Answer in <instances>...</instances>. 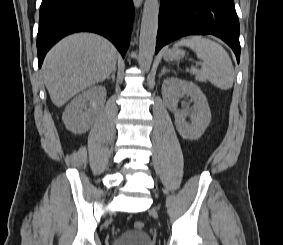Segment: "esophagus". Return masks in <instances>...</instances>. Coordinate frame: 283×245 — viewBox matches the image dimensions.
<instances>
[{
  "label": "esophagus",
  "instance_id": "1",
  "mask_svg": "<svg viewBox=\"0 0 283 245\" xmlns=\"http://www.w3.org/2000/svg\"><path fill=\"white\" fill-rule=\"evenodd\" d=\"M133 2H134V4H135V6L138 8V7L141 6L143 0H133Z\"/></svg>",
  "mask_w": 283,
  "mask_h": 245
}]
</instances>
